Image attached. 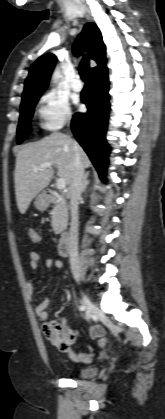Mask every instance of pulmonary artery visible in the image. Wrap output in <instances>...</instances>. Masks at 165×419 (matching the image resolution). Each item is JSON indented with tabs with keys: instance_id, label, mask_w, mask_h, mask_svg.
Returning a JSON list of instances; mask_svg holds the SVG:
<instances>
[{
	"instance_id": "1",
	"label": "pulmonary artery",
	"mask_w": 165,
	"mask_h": 419,
	"mask_svg": "<svg viewBox=\"0 0 165 419\" xmlns=\"http://www.w3.org/2000/svg\"><path fill=\"white\" fill-rule=\"evenodd\" d=\"M71 87H72V89L74 91H80L82 89V82L80 80V76L79 75H76L75 76V78H74V80H73V82L71 84Z\"/></svg>"
}]
</instances>
